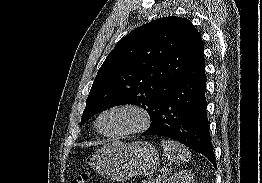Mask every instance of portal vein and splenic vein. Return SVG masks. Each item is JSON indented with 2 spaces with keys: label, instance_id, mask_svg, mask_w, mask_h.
<instances>
[{
  "label": "portal vein and splenic vein",
  "instance_id": "obj_1",
  "mask_svg": "<svg viewBox=\"0 0 262 183\" xmlns=\"http://www.w3.org/2000/svg\"><path fill=\"white\" fill-rule=\"evenodd\" d=\"M163 177H164V175H163L162 177H159L157 180H158V181H161Z\"/></svg>",
  "mask_w": 262,
  "mask_h": 183
}]
</instances>
